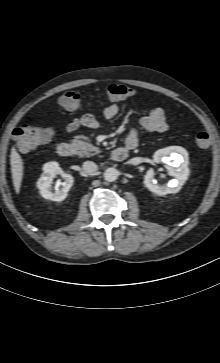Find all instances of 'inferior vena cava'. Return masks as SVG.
<instances>
[{
	"label": "inferior vena cava",
	"mask_w": 220,
	"mask_h": 363,
	"mask_svg": "<svg viewBox=\"0 0 220 363\" xmlns=\"http://www.w3.org/2000/svg\"><path fill=\"white\" fill-rule=\"evenodd\" d=\"M97 169L98 166L92 161H86L83 163V170L88 174L94 173Z\"/></svg>",
	"instance_id": "1"
}]
</instances>
